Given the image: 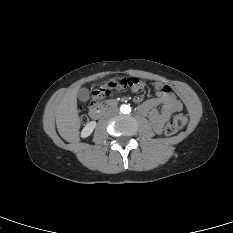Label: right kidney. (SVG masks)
<instances>
[{
	"instance_id": "1",
	"label": "right kidney",
	"mask_w": 233,
	"mask_h": 233,
	"mask_svg": "<svg viewBox=\"0 0 233 233\" xmlns=\"http://www.w3.org/2000/svg\"><path fill=\"white\" fill-rule=\"evenodd\" d=\"M96 127V122L95 121H91L89 122L82 130L81 132V137L82 138H86L88 136H90L94 130V128Z\"/></svg>"
}]
</instances>
